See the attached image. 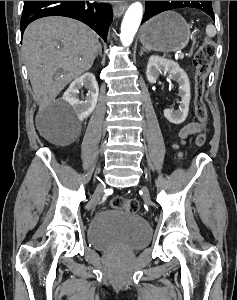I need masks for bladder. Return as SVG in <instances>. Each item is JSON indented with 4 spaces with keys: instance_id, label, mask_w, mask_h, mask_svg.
<instances>
[{
    "instance_id": "obj_1",
    "label": "bladder",
    "mask_w": 237,
    "mask_h": 300,
    "mask_svg": "<svg viewBox=\"0 0 237 300\" xmlns=\"http://www.w3.org/2000/svg\"><path fill=\"white\" fill-rule=\"evenodd\" d=\"M89 243L98 249H138L151 238V228L141 216L121 210L96 214L87 231Z\"/></svg>"
}]
</instances>
